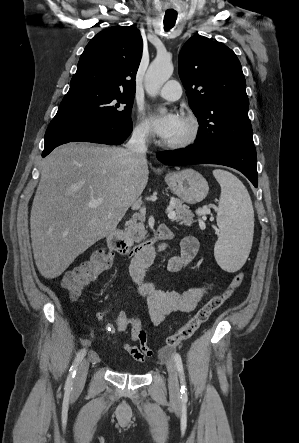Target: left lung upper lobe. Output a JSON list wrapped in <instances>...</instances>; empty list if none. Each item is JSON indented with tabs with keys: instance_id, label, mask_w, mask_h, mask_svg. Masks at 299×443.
<instances>
[{
	"instance_id": "left-lung-upper-lobe-1",
	"label": "left lung upper lobe",
	"mask_w": 299,
	"mask_h": 443,
	"mask_svg": "<svg viewBox=\"0 0 299 443\" xmlns=\"http://www.w3.org/2000/svg\"><path fill=\"white\" fill-rule=\"evenodd\" d=\"M179 75L200 125L195 144L209 148L254 146L246 82L236 54L196 35L179 54Z\"/></svg>"
}]
</instances>
